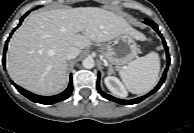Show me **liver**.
<instances>
[{
  "label": "liver",
  "instance_id": "6515ba94",
  "mask_svg": "<svg viewBox=\"0 0 194 133\" xmlns=\"http://www.w3.org/2000/svg\"><path fill=\"white\" fill-rule=\"evenodd\" d=\"M146 37L120 15L97 7L55 9L30 15L9 41L6 68L12 80L39 94L53 95L67 83L65 51H80L91 41L106 42L121 34Z\"/></svg>",
  "mask_w": 194,
  "mask_h": 133
}]
</instances>
